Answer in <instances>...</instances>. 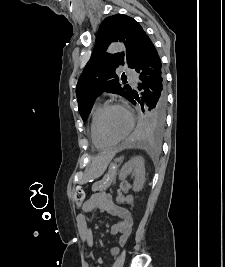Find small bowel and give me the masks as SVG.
I'll return each mask as SVG.
<instances>
[{"instance_id":"1","label":"small bowel","mask_w":225,"mask_h":267,"mask_svg":"<svg viewBox=\"0 0 225 267\" xmlns=\"http://www.w3.org/2000/svg\"><path fill=\"white\" fill-rule=\"evenodd\" d=\"M96 209L107 212L118 218L111 226L110 232L112 235L118 236L119 244L123 245L132 232L133 217L131 213L126 208L115 205L110 194L106 192H98L93 194L83 207V211L86 213H92ZM78 220L83 228L84 242L88 247H90L93 245L91 229L88 226L86 218L83 214L78 216ZM110 253L112 256H116L119 253V248L115 246L111 247ZM98 262H101V260Z\"/></svg>"}]
</instances>
